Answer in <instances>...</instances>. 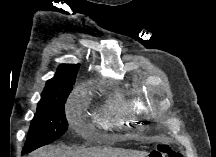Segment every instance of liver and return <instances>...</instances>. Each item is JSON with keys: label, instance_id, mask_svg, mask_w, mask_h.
<instances>
[{"label": "liver", "instance_id": "obj_1", "mask_svg": "<svg viewBox=\"0 0 216 157\" xmlns=\"http://www.w3.org/2000/svg\"><path fill=\"white\" fill-rule=\"evenodd\" d=\"M148 153L121 149L63 150L60 147L48 146L30 154L31 157H146Z\"/></svg>", "mask_w": 216, "mask_h": 157}]
</instances>
